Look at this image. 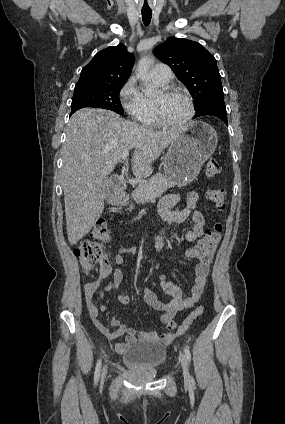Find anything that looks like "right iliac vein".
<instances>
[{
  "instance_id": "63e3f726",
  "label": "right iliac vein",
  "mask_w": 285,
  "mask_h": 424,
  "mask_svg": "<svg viewBox=\"0 0 285 424\" xmlns=\"http://www.w3.org/2000/svg\"><path fill=\"white\" fill-rule=\"evenodd\" d=\"M106 374H107V366H104L101 373V381L104 380Z\"/></svg>"
}]
</instances>
